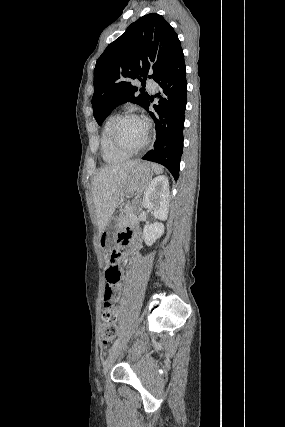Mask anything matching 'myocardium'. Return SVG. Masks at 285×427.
Returning <instances> with one entry per match:
<instances>
[{"mask_svg": "<svg viewBox=\"0 0 285 427\" xmlns=\"http://www.w3.org/2000/svg\"><path fill=\"white\" fill-rule=\"evenodd\" d=\"M130 118L139 119V120L143 121L145 126H146V136H145L143 142L135 148H129L126 145H124L120 141L119 136H118V129H119L121 122L126 120V119H130ZM110 138H111V142H112L113 146L117 150H119L120 152L129 154V155L136 154V153L140 152L141 150H143L149 143L150 125L140 115L133 113V112H125V113H122V114H119L116 116L114 122L112 123L111 129H110Z\"/></svg>", "mask_w": 285, "mask_h": 427, "instance_id": "myocardium-1", "label": "myocardium"}]
</instances>
